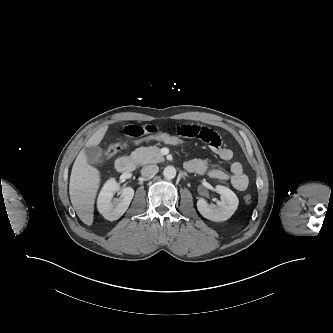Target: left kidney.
I'll list each match as a JSON object with an SVG mask.
<instances>
[{
  "mask_svg": "<svg viewBox=\"0 0 333 333\" xmlns=\"http://www.w3.org/2000/svg\"><path fill=\"white\" fill-rule=\"evenodd\" d=\"M215 189L220 194L221 201H218L216 206H212L203 198H200L197 201V209L203 217L211 221L221 222L228 220L238 207V197L225 186L217 185Z\"/></svg>",
  "mask_w": 333,
  "mask_h": 333,
  "instance_id": "obj_1",
  "label": "left kidney"
}]
</instances>
